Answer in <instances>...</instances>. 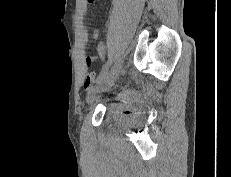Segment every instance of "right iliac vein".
Listing matches in <instances>:
<instances>
[{
  "mask_svg": "<svg viewBox=\"0 0 231 177\" xmlns=\"http://www.w3.org/2000/svg\"><path fill=\"white\" fill-rule=\"evenodd\" d=\"M118 73H119V67L118 65L114 66L113 69L104 77V79L101 81V83H99V85H97L96 87H94L93 89H91L86 97V100L88 103H92L95 98L96 95L100 92H104L107 89H109L114 82L116 81L117 77H118Z\"/></svg>",
  "mask_w": 231,
  "mask_h": 177,
  "instance_id": "63e3f726",
  "label": "right iliac vein"
}]
</instances>
